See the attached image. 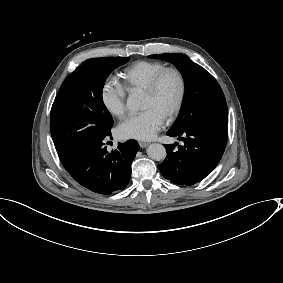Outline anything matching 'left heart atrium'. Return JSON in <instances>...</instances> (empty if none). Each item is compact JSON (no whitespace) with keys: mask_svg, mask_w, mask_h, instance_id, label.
Returning <instances> with one entry per match:
<instances>
[{"mask_svg":"<svg viewBox=\"0 0 283 283\" xmlns=\"http://www.w3.org/2000/svg\"><path fill=\"white\" fill-rule=\"evenodd\" d=\"M165 116L158 111L147 108L130 116L117 128V136L121 139H152L162 127Z\"/></svg>","mask_w":283,"mask_h":283,"instance_id":"obj_1","label":"left heart atrium"}]
</instances>
